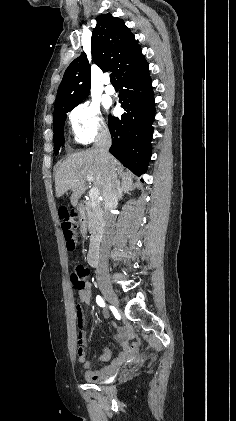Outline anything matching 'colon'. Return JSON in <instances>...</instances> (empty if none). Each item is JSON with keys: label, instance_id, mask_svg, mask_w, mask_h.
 I'll use <instances>...</instances> for the list:
<instances>
[{"label": "colon", "instance_id": "colon-1", "mask_svg": "<svg viewBox=\"0 0 236 421\" xmlns=\"http://www.w3.org/2000/svg\"><path fill=\"white\" fill-rule=\"evenodd\" d=\"M64 235L67 240V247L70 250H74L76 247V230L77 225L74 222L66 220L63 224ZM71 282L73 287L78 290H84L90 282V271L87 267L82 264H75L71 271ZM133 348H137L136 344L133 343ZM84 349L82 347L79 348L78 354L82 355Z\"/></svg>", "mask_w": 236, "mask_h": 421}]
</instances>
